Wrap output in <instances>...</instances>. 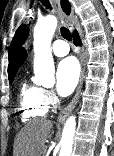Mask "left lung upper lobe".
<instances>
[{"label": "left lung upper lobe", "mask_w": 114, "mask_h": 156, "mask_svg": "<svg viewBox=\"0 0 114 156\" xmlns=\"http://www.w3.org/2000/svg\"><path fill=\"white\" fill-rule=\"evenodd\" d=\"M29 33V28L27 25L22 24L21 26H19V28L17 29L14 38L11 42L10 48H9V59L12 57V54L14 53V51L21 45L24 43V41L27 38V35Z\"/></svg>", "instance_id": "left-lung-upper-lobe-1"}]
</instances>
